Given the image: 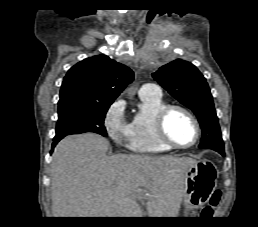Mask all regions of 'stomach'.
I'll use <instances>...</instances> for the list:
<instances>
[{"instance_id": "obj_1", "label": "stomach", "mask_w": 258, "mask_h": 227, "mask_svg": "<svg viewBox=\"0 0 258 227\" xmlns=\"http://www.w3.org/2000/svg\"><path fill=\"white\" fill-rule=\"evenodd\" d=\"M218 171L209 160L197 161L185 172L183 202L186 211L207 203L217 185Z\"/></svg>"}]
</instances>
